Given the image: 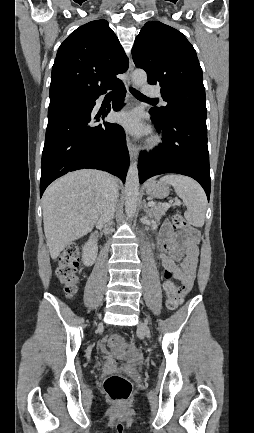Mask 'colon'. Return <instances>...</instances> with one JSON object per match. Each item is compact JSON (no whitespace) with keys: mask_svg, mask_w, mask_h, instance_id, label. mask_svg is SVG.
Masks as SVG:
<instances>
[{"mask_svg":"<svg viewBox=\"0 0 254 433\" xmlns=\"http://www.w3.org/2000/svg\"><path fill=\"white\" fill-rule=\"evenodd\" d=\"M173 225L180 230H184L191 236H195L196 232L185 221L180 213H175L172 217ZM80 258V250L76 246L67 247L58 258L57 276L64 286V291L67 296H73L79 287L80 276L78 271ZM167 304L170 309H175L181 301L180 290L175 285H170L166 291ZM111 344L116 347L123 345V340L120 336H114L110 340ZM137 353L129 357V361L134 363L137 361ZM104 391L113 402L126 401L132 392L131 382L121 375H111L107 377L103 384Z\"/></svg>","mask_w":254,"mask_h":433,"instance_id":"5ec220e1","label":"colon"}]
</instances>
